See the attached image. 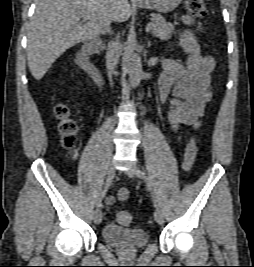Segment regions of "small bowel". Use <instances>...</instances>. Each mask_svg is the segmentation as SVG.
I'll list each match as a JSON object with an SVG mask.
<instances>
[{
	"instance_id": "small-bowel-1",
	"label": "small bowel",
	"mask_w": 254,
	"mask_h": 267,
	"mask_svg": "<svg viewBox=\"0 0 254 267\" xmlns=\"http://www.w3.org/2000/svg\"><path fill=\"white\" fill-rule=\"evenodd\" d=\"M181 21L191 26L194 20L189 15H183ZM179 38L183 50L188 54L187 63L184 65L164 58L159 80L160 101L164 103L172 95L169 123L174 131L183 125L199 128L205 107L212 99L210 80L215 69V59L211 55H202L201 46L190 29L183 30ZM129 195V189L123 187L116 196L108 195L105 201L108 205H114L117 201H126Z\"/></svg>"
}]
</instances>
